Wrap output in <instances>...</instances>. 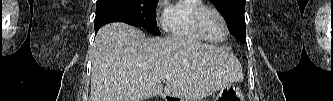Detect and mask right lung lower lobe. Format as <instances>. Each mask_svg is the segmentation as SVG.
<instances>
[{
	"label": "right lung lower lobe",
	"mask_w": 333,
	"mask_h": 101,
	"mask_svg": "<svg viewBox=\"0 0 333 101\" xmlns=\"http://www.w3.org/2000/svg\"><path fill=\"white\" fill-rule=\"evenodd\" d=\"M111 22H124L135 26L133 17L118 0H102L96 4L95 35L103 25Z\"/></svg>",
	"instance_id": "obj_1"
}]
</instances>
